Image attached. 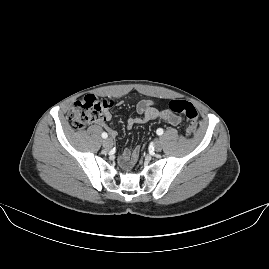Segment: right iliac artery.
<instances>
[{"mask_svg":"<svg viewBox=\"0 0 269 269\" xmlns=\"http://www.w3.org/2000/svg\"><path fill=\"white\" fill-rule=\"evenodd\" d=\"M101 136H102V138H104V139H106V138L108 137L107 133H105V132H103Z\"/></svg>","mask_w":269,"mask_h":269,"instance_id":"1","label":"right iliac artery"}]
</instances>
